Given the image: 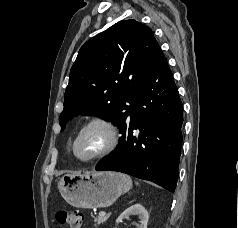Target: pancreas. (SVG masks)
<instances>
[{
	"instance_id": "pancreas-1",
	"label": "pancreas",
	"mask_w": 238,
	"mask_h": 228,
	"mask_svg": "<svg viewBox=\"0 0 238 228\" xmlns=\"http://www.w3.org/2000/svg\"><path fill=\"white\" fill-rule=\"evenodd\" d=\"M109 218V215L94 217L93 222L95 225H100L104 223Z\"/></svg>"
}]
</instances>
